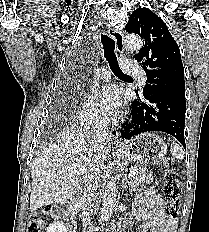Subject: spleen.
<instances>
[{"mask_svg":"<svg viewBox=\"0 0 209 232\" xmlns=\"http://www.w3.org/2000/svg\"><path fill=\"white\" fill-rule=\"evenodd\" d=\"M171 153L179 160L184 158V151L177 143L171 144Z\"/></svg>","mask_w":209,"mask_h":232,"instance_id":"spleen-1","label":"spleen"}]
</instances>
